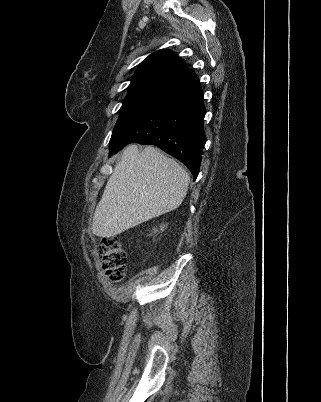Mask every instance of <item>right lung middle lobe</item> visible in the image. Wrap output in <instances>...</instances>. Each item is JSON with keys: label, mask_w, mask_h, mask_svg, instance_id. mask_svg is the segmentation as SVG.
<instances>
[{"label": "right lung middle lobe", "mask_w": 321, "mask_h": 402, "mask_svg": "<svg viewBox=\"0 0 321 402\" xmlns=\"http://www.w3.org/2000/svg\"><path fill=\"white\" fill-rule=\"evenodd\" d=\"M172 89V86L157 83L129 89L119 110V119L113 130L111 140L159 104L168 96Z\"/></svg>", "instance_id": "right-lung-middle-lobe-1"}]
</instances>
